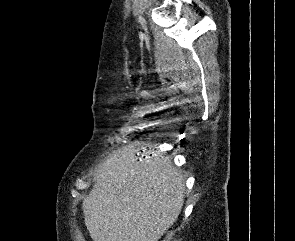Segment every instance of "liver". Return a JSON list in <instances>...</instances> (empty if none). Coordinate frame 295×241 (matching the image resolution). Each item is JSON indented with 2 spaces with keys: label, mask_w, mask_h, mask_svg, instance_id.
Instances as JSON below:
<instances>
[{
  "label": "liver",
  "mask_w": 295,
  "mask_h": 241,
  "mask_svg": "<svg viewBox=\"0 0 295 241\" xmlns=\"http://www.w3.org/2000/svg\"><path fill=\"white\" fill-rule=\"evenodd\" d=\"M145 147L123 146L100 166L82 204L93 241H158L178 218L183 174L162 153Z\"/></svg>",
  "instance_id": "1"
}]
</instances>
